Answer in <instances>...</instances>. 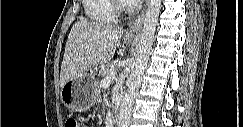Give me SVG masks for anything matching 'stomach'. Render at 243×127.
<instances>
[{
  "label": "stomach",
  "instance_id": "0dacf381",
  "mask_svg": "<svg viewBox=\"0 0 243 127\" xmlns=\"http://www.w3.org/2000/svg\"><path fill=\"white\" fill-rule=\"evenodd\" d=\"M133 38L126 36L124 40L131 41ZM95 75V71L83 73L61 87V100L68 110L83 112L95 104L99 95V85Z\"/></svg>",
  "mask_w": 243,
  "mask_h": 127
}]
</instances>
